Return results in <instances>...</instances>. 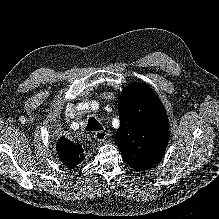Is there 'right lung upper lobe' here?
Listing matches in <instances>:
<instances>
[{
	"label": "right lung upper lobe",
	"mask_w": 219,
	"mask_h": 219,
	"mask_svg": "<svg viewBox=\"0 0 219 219\" xmlns=\"http://www.w3.org/2000/svg\"><path fill=\"white\" fill-rule=\"evenodd\" d=\"M57 151L60 160L67 167H75L83 159V148L65 137H61L57 143Z\"/></svg>",
	"instance_id": "1"
}]
</instances>
